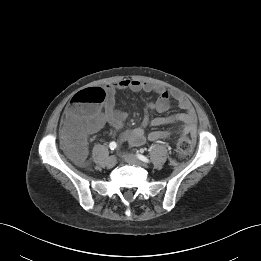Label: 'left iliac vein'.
Segmentation results:
<instances>
[{"label": "left iliac vein", "mask_w": 261, "mask_h": 261, "mask_svg": "<svg viewBox=\"0 0 261 261\" xmlns=\"http://www.w3.org/2000/svg\"><path fill=\"white\" fill-rule=\"evenodd\" d=\"M123 158L129 164H133L137 166H145L136 156L132 154H125Z\"/></svg>", "instance_id": "left-iliac-vein-1"}]
</instances>
